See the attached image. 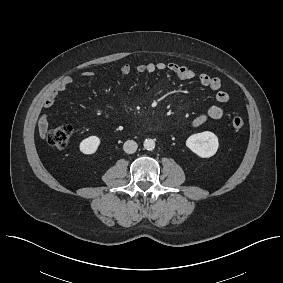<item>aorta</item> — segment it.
I'll return each instance as SVG.
<instances>
[{
    "instance_id": "aorta-1",
    "label": "aorta",
    "mask_w": 283,
    "mask_h": 283,
    "mask_svg": "<svg viewBox=\"0 0 283 283\" xmlns=\"http://www.w3.org/2000/svg\"><path fill=\"white\" fill-rule=\"evenodd\" d=\"M143 145L146 150L151 151L155 148V141L153 139H146Z\"/></svg>"
}]
</instances>
